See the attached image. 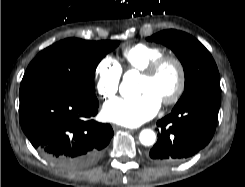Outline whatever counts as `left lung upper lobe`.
Returning a JSON list of instances; mask_svg holds the SVG:
<instances>
[{
  "label": "left lung upper lobe",
  "instance_id": "obj_1",
  "mask_svg": "<svg viewBox=\"0 0 245 187\" xmlns=\"http://www.w3.org/2000/svg\"><path fill=\"white\" fill-rule=\"evenodd\" d=\"M147 40L170 47L183 65L184 93L175 107L202 92L220 89L216 63L210 52L197 39L181 31L164 30Z\"/></svg>",
  "mask_w": 245,
  "mask_h": 187
}]
</instances>
